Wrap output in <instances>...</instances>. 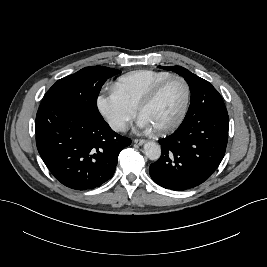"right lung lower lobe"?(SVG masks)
I'll return each mask as SVG.
<instances>
[{"instance_id": "right-lung-lower-lobe-1", "label": "right lung lower lobe", "mask_w": 267, "mask_h": 267, "mask_svg": "<svg viewBox=\"0 0 267 267\" xmlns=\"http://www.w3.org/2000/svg\"><path fill=\"white\" fill-rule=\"evenodd\" d=\"M37 149L63 185L94 189L114 174L120 151L131 140L114 132L103 117L43 100L36 115Z\"/></svg>"}]
</instances>
